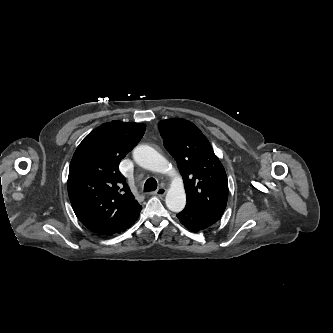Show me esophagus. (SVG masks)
<instances>
[{"label":"esophagus","mask_w":333,"mask_h":333,"mask_svg":"<svg viewBox=\"0 0 333 333\" xmlns=\"http://www.w3.org/2000/svg\"><path fill=\"white\" fill-rule=\"evenodd\" d=\"M166 194V189L163 187L158 188L155 192H153V195L163 197Z\"/></svg>","instance_id":"obj_1"}]
</instances>
